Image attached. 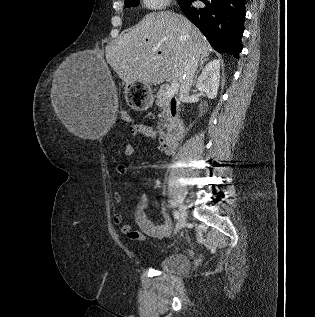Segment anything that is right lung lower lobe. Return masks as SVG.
I'll use <instances>...</instances> for the list:
<instances>
[{
	"instance_id": "right-lung-lower-lobe-1",
	"label": "right lung lower lobe",
	"mask_w": 315,
	"mask_h": 317,
	"mask_svg": "<svg viewBox=\"0 0 315 317\" xmlns=\"http://www.w3.org/2000/svg\"><path fill=\"white\" fill-rule=\"evenodd\" d=\"M195 0L178 3L187 18L196 25L219 53L239 59L244 32L245 0H200L203 7H192Z\"/></svg>"
}]
</instances>
